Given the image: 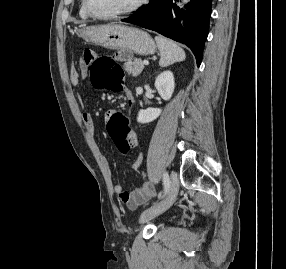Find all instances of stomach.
<instances>
[{
    "label": "stomach",
    "instance_id": "obj_1",
    "mask_svg": "<svg viewBox=\"0 0 286 269\" xmlns=\"http://www.w3.org/2000/svg\"><path fill=\"white\" fill-rule=\"evenodd\" d=\"M80 36L107 49H133V54L143 56L151 55L156 50L152 37L136 27L119 24L91 26L82 29Z\"/></svg>",
    "mask_w": 286,
    "mask_h": 269
}]
</instances>
